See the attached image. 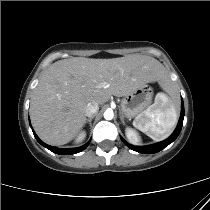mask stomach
I'll list each match as a JSON object with an SVG mask.
<instances>
[{"label":"stomach","instance_id":"obj_1","mask_svg":"<svg viewBox=\"0 0 210 210\" xmlns=\"http://www.w3.org/2000/svg\"><path fill=\"white\" fill-rule=\"evenodd\" d=\"M153 90L147 84L126 95L121 101V113L126 118L137 117L151 104Z\"/></svg>","mask_w":210,"mask_h":210}]
</instances>
